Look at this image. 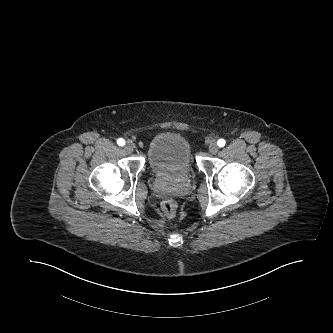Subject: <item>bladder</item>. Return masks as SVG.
<instances>
[{
	"instance_id": "31cf9c89",
	"label": "bladder",
	"mask_w": 333,
	"mask_h": 333,
	"mask_svg": "<svg viewBox=\"0 0 333 333\" xmlns=\"http://www.w3.org/2000/svg\"><path fill=\"white\" fill-rule=\"evenodd\" d=\"M147 161L154 176H188L194 168L189 142L183 136L172 132L160 133L151 140Z\"/></svg>"
}]
</instances>
